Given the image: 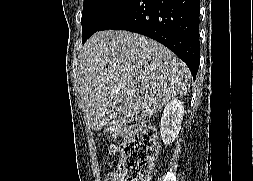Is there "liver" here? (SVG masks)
Segmentation results:
<instances>
[{"label": "liver", "instance_id": "6515ba94", "mask_svg": "<svg viewBox=\"0 0 253 181\" xmlns=\"http://www.w3.org/2000/svg\"><path fill=\"white\" fill-rule=\"evenodd\" d=\"M84 115L96 131L150 118L185 95L191 74L169 49L128 31L95 33L79 57Z\"/></svg>", "mask_w": 253, "mask_h": 181}]
</instances>
